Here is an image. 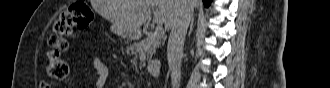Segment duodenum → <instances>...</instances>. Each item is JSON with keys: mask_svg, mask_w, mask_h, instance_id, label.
<instances>
[{"mask_svg": "<svg viewBox=\"0 0 330 88\" xmlns=\"http://www.w3.org/2000/svg\"><path fill=\"white\" fill-rule=\"evenodd\" d=\"M134 38H139V35H134ZM162 66L159 62H150L147 66L148 72L152 76H157L160 74Z\"/></svg>", "mask_w": 330, "mask_h": 88, "instance_id": "obj_1", "label": "duodenum"}]
</instances>
